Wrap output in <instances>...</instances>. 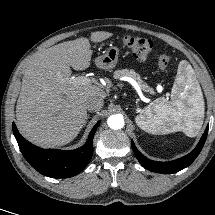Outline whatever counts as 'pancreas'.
<instances>
[{
	"label": "pancreas",
	"mask_w": 215,
	"mask_h": 215,
	"mask_svg": "<svg viewBox=\"0 0 215 215\" xmlns=\"http://www.w3.org/2000/svg\"><path fill=\"white\" fill-rule=\"evenodd\" d=\"M120 77H129L136 81L138 85L143 88L144 90L152 91L143 81L140 79V76L135 73L133 70H118L114 73V78H120Z\"/></svg>",
	"instance_id": "cf45deb5"
}]
</instances>
